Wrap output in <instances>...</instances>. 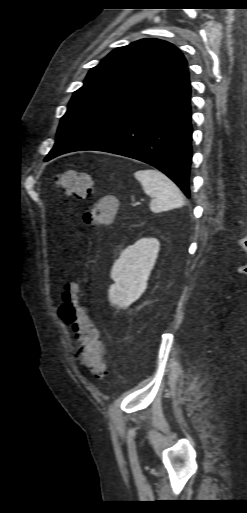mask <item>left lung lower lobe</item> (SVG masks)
<instances>
[{"label": "left lung lower lobe", "instance_id": "1", "mask_svg": "<svg viewBox=\"0 0 247 513\" xmlns=\"http://www.w3.org/2000/svg\"><path fill=\"white\" fill-rule=\"evenodd\" d=\"M191 89L187 67L146 94L96 119L56 145L48 161L64 153L97 150L148 163L189 198L192 159Z\"/></svg>", "mask_w": 247, "mask_h": 513}]
</instances>
